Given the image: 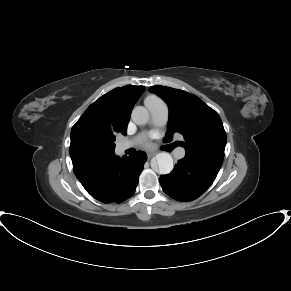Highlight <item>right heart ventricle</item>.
I'll list each match as a JSON object with an SVG mask.
<instances>
[{
    "label": "right heart ventricle",
    "mask_w": 291,
    "mask_h": 291,
    "mask_svg": "<svg viewBox=\"0 0 291 291\" xmlns=\"http://www.w3.org/2000/svg\"><path fill=\"white\" fill-rule=\"evenodd\" d=\"M155 99H158V97L155 96V95H150V96H148V97L146 98L145 101H148V100H155Z\"/></svg>",
    "instance_id": "obj_1"
}]
</instances>
